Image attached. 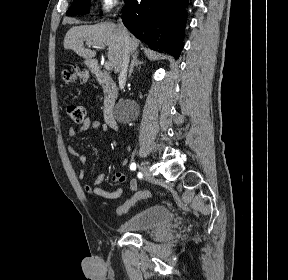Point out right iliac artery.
Instances as JSON below:
<instances>
[{"instance_id": "1", "label": "right iliac artery", "mask_w": 288, "mask_h": 280, "mask_svg": "<svg viewBox=\"0 0 288 280\" xmlns=\"http://www.w3.org/2000/svg\"><path fill=\"white\" fill-rule=\"evenodd\" d=\"M130 169H131V170H135V169H136V164H135V163H132L131 166H130Z\"/></svg>"}]
</instances>
